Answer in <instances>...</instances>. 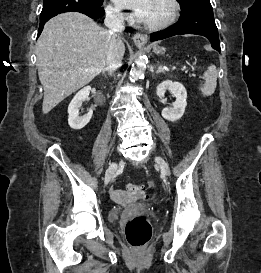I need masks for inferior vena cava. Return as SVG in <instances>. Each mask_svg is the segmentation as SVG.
<instances>
[{
  "instance_id": "inferior-vena-cava-1",
  "label": "inferior vena cava",
  "mask_w": 261,
  "mask_h": 273,
  "mask_svg": "<svg viewBox=\"0 0 261 273\" xmlns=\"http://www.w3.org/2000/svg\"><path fill=\"white\" fill-rule=\"evenodd\" d=\"M104 23L105 26L108 28V33L110 35L106 68L114 72L122 65L123 54L120 50V33H122L125 29L124 17L122 14L115 12L113 9H106Z\"/></svg>"
}]
</instances>
